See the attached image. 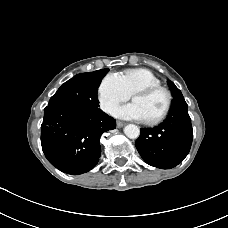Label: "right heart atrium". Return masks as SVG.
I'll return each instance as SVG.
<instances>
[{
	"mask_svg": "<svg viewBox=\"0 0 228 228\" xmlns=\"http://www.w3.org/2000/svg\"><path fill=\"white\" fill-rule=\"evenodd\" d=\"M129 96L116 73L105 75L98 85L97 99L100 109L105 113H111L119 103L128 100Z\"/></svg>",
	"mask_w": 228,
	"mask_h": 228,
	"instance_id": "right-heart-atrium-1",
	"label": "right heart atrium"
}]
</instances>
